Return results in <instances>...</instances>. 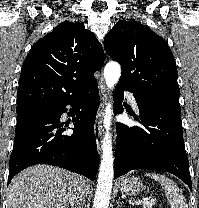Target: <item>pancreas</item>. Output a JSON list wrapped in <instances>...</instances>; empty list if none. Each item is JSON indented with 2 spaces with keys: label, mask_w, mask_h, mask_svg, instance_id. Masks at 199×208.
I'll list each match as a JSON object with an SVG mask.
<instances>
[{
  "label": "pancreas",
  "mask_w": 199,
  "mask_h": 208,
  "mask_svg": "<svg viewBox=\"0 0 199 208\" xmlns=\"http://www.w3.org/2000/svg\"><path fill=\"white\" fill-rule=\"evenodd\" d=\"M143 208H152L150 205H144Z\"/></svg>",
  "instance_id": "obj_1"
}]
</instances>
